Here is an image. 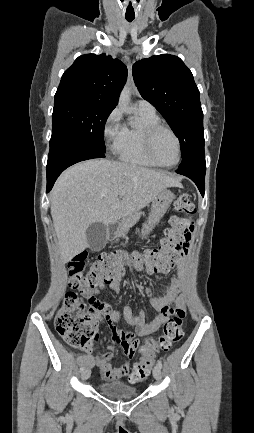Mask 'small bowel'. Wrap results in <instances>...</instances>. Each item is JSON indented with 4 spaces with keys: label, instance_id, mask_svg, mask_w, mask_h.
<instances>
[{
    "label": "small bowel",
    "instance_id": "obj_1",
    "mask_svg": "<svg viewBox=\"0 0 254 433\" xmlns=\"http://www.w3.org/2000/svg\"><path fill=\"white\" fill-rule=\"evenodd\" d=\"M184 262L185 255L179 256L169 261L164 268L157 272L165 274L170 272L172 269H176L180 278H182ZM119 286L120 276H117L110 283L101 286V288L104 289L109 287L116 291L119 289ZM179 287L180 282L175 279L164 286L159 295H153L151 289L149 287L146 288L145 291L150 298V303L152 307L157 310V315L151 321H146L147 314L145 311L135 312L130 305H126L122 311H116L113 310L109 304L99 302L97 306L99 318L104 323L107 330L113 335L116 342L121 346L126 359L121 365L114 367L110 363L112 359L111 352L104 354L89 352L80 358L81 365L85 368H90L96 365L100 370L102 378L108 381H114L121 378H129V380L132 381L130 374L131 361L137 348L140 346L139 337L155 332L164 324L166 319L175 309H183V300H174V296ZM97 292V290L83 292V296L88 300L91 298L96 299ZM122 320L129 325L134 326L135 332L131 333L127 330L117 328L116 324ZM98 336L96 341L98 340ZM108 349L112 351L114 347L109 346Z\"/></svg>",
    "mask_w": 254,
    "mask_h": 433
}]
</instances>
